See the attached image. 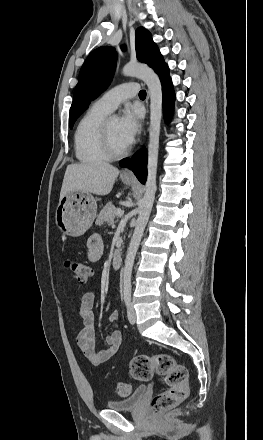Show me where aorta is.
Here are the masks:
<instances>
[{"instance_id": "1", "label": "aorta", "mask_w": 263, "mask_h": 440, "mask_svg": "<svg viewBox=\"0 0 263 440\" xmlns=\"http://www.w3.org/2000/svg\"><path fill=\"white\" fill-rule=\"evenodd\" d=\"M123 75L138 77L143 80L150 95V126L148 145L147 180L145 193L141 200L136 226L129 244L123 268L124 287H131V276L134 259L148 222L156 193V176L159 153V138L162 117V85L158 75L148 66L139 63H128L123 67Z\"/></svg>"}]
</instances>
